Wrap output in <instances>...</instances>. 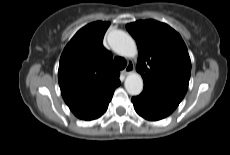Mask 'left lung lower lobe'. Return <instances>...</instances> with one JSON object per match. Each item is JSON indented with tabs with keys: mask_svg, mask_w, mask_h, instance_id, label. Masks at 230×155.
<instances>
[{
	"mask_svg": "<svg viewBox=\"0 0 230 155\" xmlns=\"http://www.w3.org/2000/svg\"><path fill=\"white\" fill-rule=\"evenodd\" d=\"M136 112L150 121L161 120L169 116L178 106L162 96L144 89L143 92L132 98Z\"/></svg>",
	"mask_w": 230,
	"mask_h": 155,
	"instance_id": "obj_1",
	"label": "left lung lower lobe"
}]
</instances>
